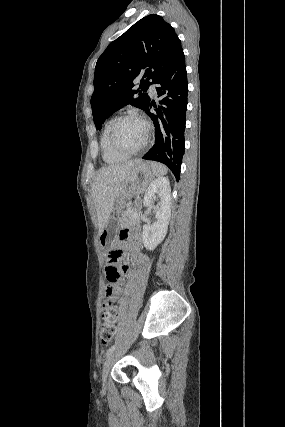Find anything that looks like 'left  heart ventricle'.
Instances as JSON below:
<instances>
[{
  "instance_id": "1",
  "label": "left heart ventricle",
  "mask_w": 285,
  "mask_h": 427,
  "mask_svg": "<svg viewBox=\"0 0 285 427\" xmlns=\"http://www.w3.org/2000/svg\"><path fill=\"white\" fill-rule=\"evenodd\" d=\"M145 133V126L142 122L126 119L118 124L115 130V139L122 147L132 150L143 142Z\"/></svg>"
}]
</instances>
